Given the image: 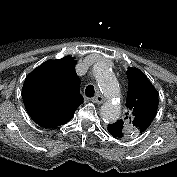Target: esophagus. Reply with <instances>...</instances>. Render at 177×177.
<instances>
[{"label":"esophagus","instance_id":"esophagus-1","mask_svg":"<svg viewBox=\"0 0 177 177\" xmlns=\"http://www.w3.org/2000/svg\"><path fill=\"white\" fill-rule=\"evenodd\" d=\"M91 101L97 104H102L104 102V98L102 95H96L95 97L91 98Z\"/></svg>","mask_w":177,"mask_h":177}]
</instances>
